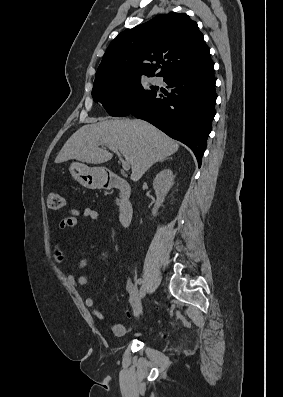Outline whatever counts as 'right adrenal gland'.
<instances>
[{"instance_id":"1","label":"right adrenal gland","mask_w":283,"mask_h":397,"mask_svg":"<svg viewBox=\"0 0 283 397\" xmlns=\"http://www.w3.org/2000/svg\"><path fill=\"white\" fill-rule=\"evenodd\" d=\"M164 160H166V158L159 160V162H163Z\"/></svg>"}]
</instances>
